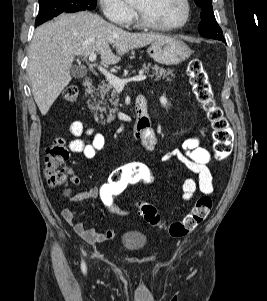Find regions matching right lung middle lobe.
Returning a JSON list of instances; mask_svg holds the SVG:
<instances>
[{
	"label": "right lung middle lobe",
	"instance_id": "obj_1",
	"mask_svg": "<svg viewBox=\"0 0 267 301\" xmlns=\"http://www.w3.org/2000/svg\"><path fill=\"white\" fill-rule=\"evenodd\" d=\"M39 14L35 26L46 22L60 13L92 10L96 7V0H39Z\"/></svg>",
	"mask_w": 267,
	"mask_h": 301
}]
</instances>
